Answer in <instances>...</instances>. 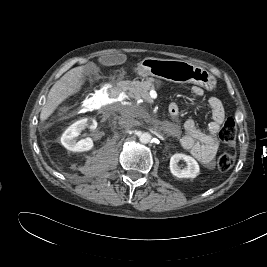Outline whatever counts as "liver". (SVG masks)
Here are the masks:
<instances>
[{"mask_svg":"<svg viewBox=\"0 0 267 267\" xmlns=\"http://www.w3.org/2000/svg\"><path fill=\"white\" fill-rule=\"evenodd\" d=\"M85 72V66L75 67L52 86L40 113L41 123L47 120L62 102L81 89Z\"/></svg>","mask_w":267,"mask_h":267,"instance_id":"6515ba94","label":"liver"}]
</instances>
